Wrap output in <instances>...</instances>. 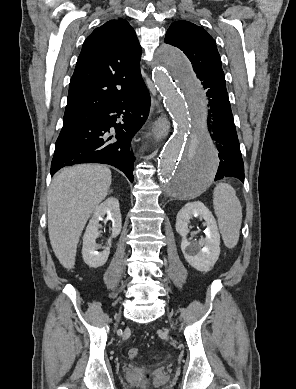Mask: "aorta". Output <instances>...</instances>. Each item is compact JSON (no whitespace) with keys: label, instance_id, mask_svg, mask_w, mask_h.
I'll return each instance as SVG.
<instances>
[{"label":"aorta","instance_id":"aorta-1","mask_svg":"<svg viewBox=\"0 0 296 389\" xmlns=\"http://www.w3.org/2000/svg\"><path fill=\"white\" fill-rule=\"evenodd\" d=\"M153 80L174 123L158 162L160 181L175 197L196 196L213 180L219 165L205 127L208 92L186 56L170 45L157 52Z\"/></svg>","mask_w":296,"mask_h":389}]
</instances>
